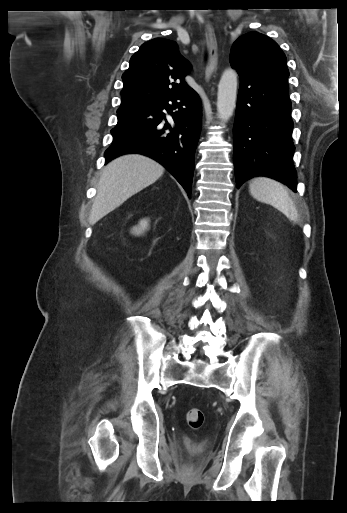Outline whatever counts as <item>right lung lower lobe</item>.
<instances>
[{
  "label": "right lung lower lobe",
  "instance_id": "obj_1",
  "mask_svg": "<svg viewBox=\"0 0 347 513\" xmlns=\"http://www.w3.org/2000/svg\"><path fill=\"white\" fill-rule=\"evenodd\" d=\"M162 110L170 115L167 119ZM106 163L127 153H140L161 163L183 186L189 198L202 110L191 89L156 103L117 113Z\"/></svg>",
  "mask_w": 347,
  "mask_h": 513
}]
</instances>
